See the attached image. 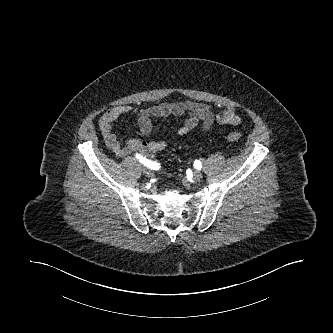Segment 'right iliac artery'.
<instances>
[{
    "mask_svg": "<svg viewBox=\"0 0 333 333\" xmlns=\"http://www.w3.org/2000/svg\"><path fill=\"white\" fill-rule=\"evenodd\" d=\"M135 157L145 166L153 169V170H158L160 168V164L157 162H153L145 157H143L140 154H135Z\"/></svg>",
    "mask_w": 333,
    "mask_h": 333,
    "instance_id": "1",
    "label": "right iliac artery"
}]
</instances>
